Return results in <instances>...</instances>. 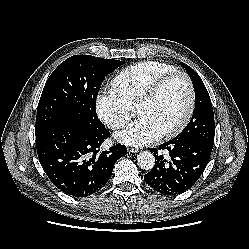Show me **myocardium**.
I'll use <instances>...</instances> for the list:
<instances>
[{
  "instance_id": "obj_1",
  "label": "myocardium",
  "mask_w": 249,
  "mask_h": 249,
  "mask_svg": "<svg viewBox=\"0 0 249 249\" xmlns=\"http://www.w3.org/2000/svg\"><path fill=\"white\" fill-rule=\"evenodd\" d=\"M174 77H181L187 87L188 90V106L186 109V112L183 116V118L180 120V122L174 126L173 128L167 130L164 132L165 137H174L181 133L189 124L196 105V93L195 88L193 85V82L189 75L181 70H174L169 73H166L162 76H160L158 79H156L149 88L144 92V94L140 97V99L137 102V106L141 104H145L148 102H151L156 98L162 87L172 78Z\"/></svg>"
}]
</instances>
